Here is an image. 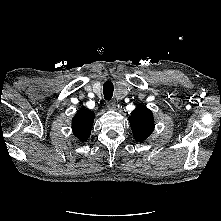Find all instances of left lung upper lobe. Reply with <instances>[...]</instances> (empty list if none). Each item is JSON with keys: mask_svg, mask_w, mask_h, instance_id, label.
Segmentation results:
<instances>
[{"mask_svg": "<svg viewBox=\"0 0 221 221\" xmlns=\"http://www.w3.org/2000/svg\"><path fill=\"white\" fill-rule=\"evenodd\" d=\"M131 129L138 142L146 140L154 130L152 112L144 105L139 104L129 117Z\"/></svg>", "mask_w": 221, "mask_h": 221, "instance_id": "1", "label": "left lung upper lobe"}]
</instances>
